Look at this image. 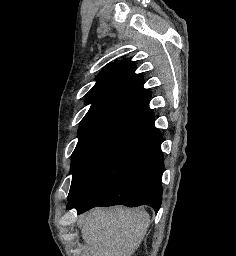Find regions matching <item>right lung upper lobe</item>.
I'll return each instance as SVG.
<instances>
[{
    "instance_id": "obj_1",
    "label": "right lung upper lobe",
    "mask_w": 236,
    "mask_h": 256,
    "mask_svg": "<svg viewBox=\"0 0 236 256\" xmlns=\"http://www.w3.org/2000/svg\"><path fill=\"white\" fill-rule=\"evenodd\" d=\"M135 69L132 61L108 64L87 94L86 102L92 105L81 123L119 116L154 125V116L149 108L150 92L143 88V81L139 74L134 73Z\"/></svg>"
}]
</instances>
